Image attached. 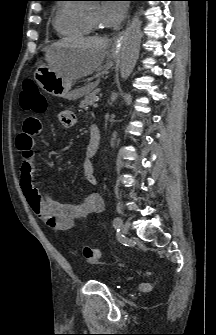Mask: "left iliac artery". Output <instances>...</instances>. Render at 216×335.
Returning a JSON list of instances; mask_svg holds the SVG:
<instances>
[{
  "mask_svg": "<svg viewBox=\"0 0 216 335\" xmlns=\"http://www.w3.org/2000/svg\"><path fill=\"white\" fill-rule=\"evenodd\" d=\"M121 225H122V219L120 217L115 218L113 221V226L115 228H119L121 227Z\"/></svg>",
  "mask_w": 216,
  "mask_h": 335,
  "instance_id": "1",
  "label": "left iliac artery"
}]
</instances>
